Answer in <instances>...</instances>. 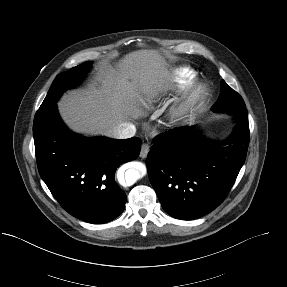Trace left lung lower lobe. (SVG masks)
<instances>
[{
    "label": "left lung lower lobe",
    "mask_w": 287,
    "mask_h": 287,
    "mask_svg": "<svg viewBox=\"0 0 287 287\" xmlns=\"http://www.w3.org/2000/svg\"><path fill=\"white\" fill-rule=\"evenodd\" d=\"M224 141H209L193 127L175 128L154 138L146 160L150 182L166 213L193 220L227 196L244 164L249 144L248 117Z\"/></svg>",
    "instance_id": "obj_1"
}]
</instances>
